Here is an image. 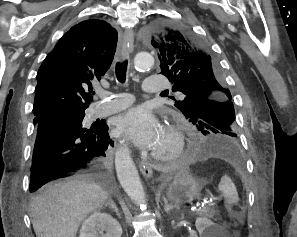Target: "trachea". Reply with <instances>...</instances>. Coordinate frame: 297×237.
Instances as JSON below:
<instances>
[{
  "mask_svg": "<svg viewBox=\"0 0 297 237\" xmlns=\"http://www.w3.org/2000/svg\"><path fill=\"white\" fill-rule=\"evenodd\" d=\"M127 64V60L116 64V77L120 83H124L126 80Z\"/></svg>",
  "mask_w": 297,
  "mask_h": 237,
  "instance_id": "obj_1",
  "label": "trachea"
}]
</instances>
